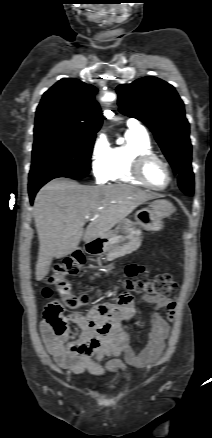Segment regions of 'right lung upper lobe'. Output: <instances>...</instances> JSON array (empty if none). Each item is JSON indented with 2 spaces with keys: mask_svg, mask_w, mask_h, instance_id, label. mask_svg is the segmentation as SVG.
Listing matches in <instances>:
<instances>
[{
  "mask_svg": "<svg viewBox=\"0 0 212 438\" xmlns=\"http://www.w3.org/2000/svg\"><path fill=\"white\" fill-rule=\"evenodd\" d=\"M96 91L78 79H61L43 94L36 110L34 132L58 129L96 133L102 124V112L94 99Z\"/></svg>",
  "mask_w": 212,
  "mask_h": 438,
  "instance_id": "cb5924a9",
  "label": "right lung upper lobe"
}]
</instances>
